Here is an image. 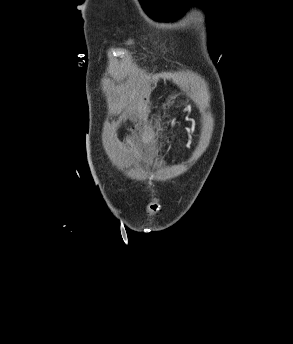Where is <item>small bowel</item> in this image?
Masks as SVG:
<instances>
[{
	"instance_id": "small-bowel-1",
	"label": "small bowel",
	"mask_w": 293,
	"mask_h": 344,
	"mask_svg": "<svg viewBox=\"0 0 293 344\" xmlns=\"http://www.w3.org/2000/svg\"><path fill=\"white\" fill-rule=\"evenodd\" d=\"M138 147L150 151L155 144V131L151 128H145L138 137L131 139Z\"/></svg>"
}]
</instances>
